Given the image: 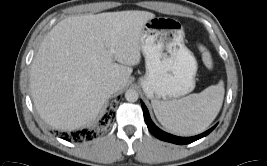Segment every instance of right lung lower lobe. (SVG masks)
<instances>
[{"label":"right lung lower lobe","mask_w":267,"mask_h":166,"mask_svg":"<svg viewBox=\"0 0 267 166\" xmlns=\"http://www.w3.org/2000/svg\"><path fill=\"white\" fill-rule=\"evenodd\" d=\"M111 116L112 111H110L109 114H105L102 120L100 121V126H105ZM94 135V130L83 129L81 131L72 132L71 134L63 133L62 138L67 141L80 142L84 139H92Z\"/></svg>","instance_id":"obj_1"}]
</instances>
